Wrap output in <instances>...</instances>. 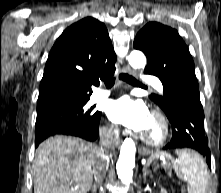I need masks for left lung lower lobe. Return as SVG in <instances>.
I'll return each mask as SVG.
<instances>
[{
  "label": "left lung lower lobe",
  "mask_w": 221,
  "mask_h": 193,
  "mask_svg": "<svg viewBox=\"0 0 221 193\" xmlns=\"http://www.w3.org/2000/svg\"><path fill=\"white\" fill-rule=\"evenodd\" d=\"M145 73L154 75L149 71ZM163 88L169 101L168 119L173 128L172 139L164 149H194L206 158L211 168V153L204 131V111L200 102L199 86L177 83L163 84Z\"/></svg>",
  "instance_id": "obj_1"
}]
</instances>
